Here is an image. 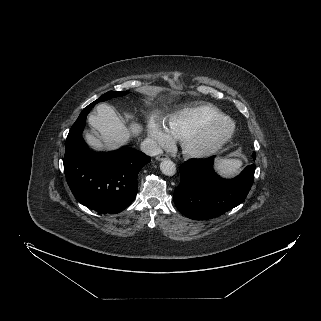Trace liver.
Listing matches in <instances>:
<instances>
[{"label": "liver", "instance_id": "liver-1", "mask_svg": "<svg viewBox=\"0 0 321 321\" xmlns=\"http://www.w3.org/2000/svg\"><path fill=\"white\" fill-rule=\"evenodd\" d=\"M88 121L100 133V137L87 132L85 139L97 150L117 149L125 145L132 136L142 132L141 125L137 123H131L130 127H127L115 111L106 104L97 105L96 114H91Z\"/></svg>", "mask_w": 321, "mask_h": 321}]
</instances>
